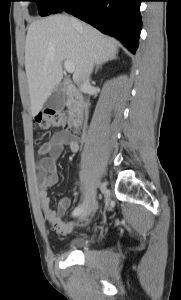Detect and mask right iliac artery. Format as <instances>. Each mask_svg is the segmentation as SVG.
<instances>
[{
  "label": "right iliac artery",
  "instance_id": "obj_1",
  "mask_svg": "<svg viewBox=\"0 0 181 300\" xmlns=\"http://www.w3.org/2000/svg\"><path fill=\"white\" fill-rule=\"evenodd\" d=\"M83 211V206H78L77 208L74 209V211L72 212V215L74 217L79 216Z\"/></svg>",
  "mask_w": 181,
  "mask_h": 300
}]
</instances>
